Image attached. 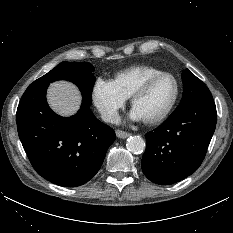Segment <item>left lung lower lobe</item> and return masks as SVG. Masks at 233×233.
<instances>
[{
  "mask_svg": "<svg viewBox=\"0 0 233 233\" xmlns=\"http://www.w3.org/2000/svg\"><path fill=\"white\" fill-rule=\"evenodd\" d=\"M213 98L187 105L154 132L146 134L141 167L145 176L161 185L177 183L201 165L216 127Z\"/></svg>",
  "mask_w": 233,
  "mask_h": 233,
  "instance_id": "0a47b994",
  "label": "left lung lower lobe"
}]
</instances>
